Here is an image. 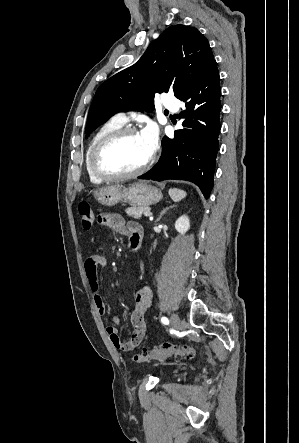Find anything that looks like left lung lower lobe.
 Segmentation results:
<instances>
[{"mask_svg": "<svg viewBox=\"0 0 299 443\" xmlns=\"http://www.w3.org/2000/svg\"><path fill=\"white\" fill-rule=\"evenodd\" d=\"M221 88L216 61L181 97L185 109L178 115L183 128L174 138L164 137L158 163L139 179L188 180L199 186L205 198L213 186L220 132Z\"/></svg>", "mask_w": 299, "mask_h": 443, "instance_id": "obj_1", "label": "left lung lower lobe"}]
</instances>
